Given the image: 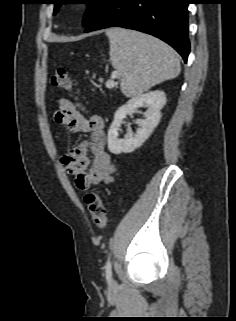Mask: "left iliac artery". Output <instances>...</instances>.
Wrapping results in <instances>:
<instances>
[{
  "label": "left iliac artery",
  "mask_w": 236,
  "mask_h": 321,
  "mask_svg": "<svg viewBox=\"0 0 236 321\" xmlns=\"http://www.w3.org/2000/svg\"><path fill=\"white\" fill-rule=\"evenodd\" d=\"M105 271H106V278L110 282L111 276H112V263L110 258H108L106 262Z\"/></svg>",
  "instance_id": "1"
}]
</instances>
